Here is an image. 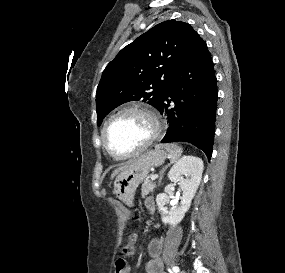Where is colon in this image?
I'll return each mask as SVG.
<instances>
[{
	"label": "colon",
	"mask_w": 285,
	"mask_h": 273,
	"mask_svg": "<svg viewBox=\"0 0 285 273\" xmlns=\"http://www.w3.org/2000/svg\"><path fill=\"white\" fill-rule=\"evenodd\" d=\"M136 213L140 212L139 208L135 209ZM134 239H132L123 249V257L118 258L115 262V273H130L129 258L134 254Z\"/></svg>",
	"instance_id": "1"
}]
</instances>
